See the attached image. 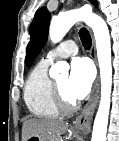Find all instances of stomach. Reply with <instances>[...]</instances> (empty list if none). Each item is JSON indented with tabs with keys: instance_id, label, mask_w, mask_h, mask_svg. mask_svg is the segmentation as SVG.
Segmentation results:
<instances>
[{
	"instance_id": "1",
	"label": "stomach",
	"mask_w": 119,
	"mask_h": 141,
	"mask_svg": "<svg viewBox=\"0 0 119 141\" xmlns=\"http://www.w3.org/2000/svg\"><path fill=\"white\" fill-rule=\"evenodd\" d=\"M62 138L57 135L53 136H41V135H31L27 141H62Z\"/></svg>"
}]
</instances>
